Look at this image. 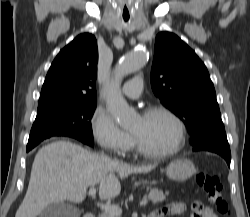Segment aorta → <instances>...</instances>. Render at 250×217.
Masks as SVG:
<instances>
[{"instance_id": "obj_1", "label": "aorta", "mask_w": 250, "mask_h": 217, "mask_svg": "<svg viewBox=\"0 0 250 217\" xmlns=\"http://www.w3.org/2000/svg\"><path fill=\"white\" fill-rule=\"evenodd\" d=\"M147 50H133L125 54L116 65L114 77L107 85V108L113 118L123 127L133 123L135 113L121 95L122 79L143 67L147 59Z\"/></svg>"}]
</instances>
